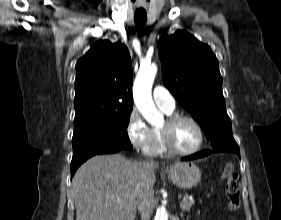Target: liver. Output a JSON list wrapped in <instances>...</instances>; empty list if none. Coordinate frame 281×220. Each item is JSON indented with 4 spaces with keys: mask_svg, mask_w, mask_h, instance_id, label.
I'll list each match as a JSON object with an SVG mask.
<instances>
[{
    "mask_svg": "<svg viewBox=\"0 0 281 220\" xmlns=\"http://www.w3.org/2000/svg\"><path fill=\"white\" fill-rule=\"evenodd\" d=\"M158 164L130 162L121 154L99 155L72 179L76 220H134L138 193L153 188Z\"/></svg>",
    "mask_w": 281,
    "mask_h": 220,
    "instance_id": "liver-1",
    "label": "liver"
}]
</instances>
